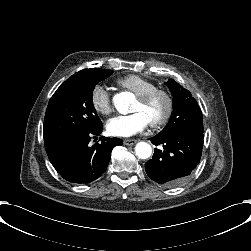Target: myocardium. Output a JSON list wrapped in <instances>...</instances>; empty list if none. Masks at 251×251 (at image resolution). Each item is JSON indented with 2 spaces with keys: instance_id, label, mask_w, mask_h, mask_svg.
Listing matches in <instances>:
<instances>
[{
  "instance_id": "myocardium-1",
  "label": "myocardium",
  "mask_w": 251,
  "mask_h": 251,
  "mask_svg": "<svg viewBox=\"0 0 251 251\" xmlns=\"http://www.w3.org/2000/svg\"><path fill=\"white\" fill-rule=\"evenodd\" d=\"M158 95H161L165 98L166 100V110L158 118H154L151 120V124L153 126H159L165 124L172 116L173 111H174V106H175V100L172 95V93L169 90L160 88V87H155L148 92L142 93L138 95V98L144 102V103H150L154 100V98Z\"/></svg>"
}]
</instances>
